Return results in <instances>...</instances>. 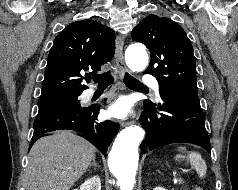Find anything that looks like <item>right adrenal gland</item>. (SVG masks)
<instances>
[{"label": "right adrenal gland", "mask_w": 238, "mask_h": 190, "mask_svg": "<svg viewBox=\"0 0 238 190\" xmlns=\"http://www.w3.org/2000/svg\"><path fill=\"white\" fill-rule=\"evenodd\" d=\"M92 166H94V167H99V165H97V163H96L95 158H93V161H92V163L90 164L88 171H90V169H91Z\"/></svg>", "instance_id": "right-adrenal-gland-1"}]
</instances>
